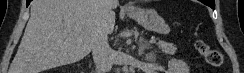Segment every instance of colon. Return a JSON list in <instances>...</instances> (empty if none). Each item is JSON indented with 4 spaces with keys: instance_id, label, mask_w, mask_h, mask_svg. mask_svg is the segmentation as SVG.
<instances>
[{
    "instance_id": "obj_1",
    "label": "colon",
    "mask_w": 244,
    "mask_h": 73,
    "mask_svg": "<svg viewBox=\"0 0 244 73\" xmlns=\"http://www.w3.org/2000/svg\"><path fill=\"white\" fill-rule=\"evenodd\" d=\"M195 46L209 65L213 67H221L223 65L224 56L220 50L210 47L203 40H197Z\"/></svg>"
}]
</instances>
